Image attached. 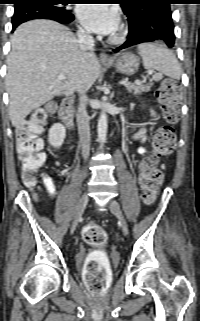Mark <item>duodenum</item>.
<instances>
[{
    "label": "duodenum",
    "instance_id": "duodenum-1",
    "mask_svg": "<svg viewBox=\"0 0 200 321\" xmlns=\"http://www.w3.org/2000/svg\"><path fill=\"white\" fill-rule=\"evenodd\" d=\"M73 104V97L72 96H66L62 99L60 103L59 108V116L63 123L67 126L72 125V114H71V108Z\"/></svg>",
    "mask_w": 200,
    "mask_h": 321
}]
</instances>
